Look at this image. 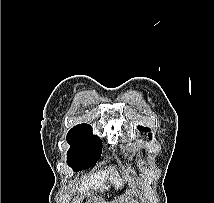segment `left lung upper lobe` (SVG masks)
Returning a JSON list of instances; mask_svg holds the SVG:
<instances>
[{"instance_id":"5c2ea615","label":"left lung upper lobe","mask_w":214,"mask_h":203,"mask_svg":"<svg viewBox=\"0 0 214 203\" xmlns=\"http://www.w3.org/2000/svg\"><path fill=\"white\" fill-rule=\"evenodd\" d=\"M138 129L143 130V131H146V132H149V131H150L149 128H147V127H142V126H139ZM149 135H150L149 137H150V139H151L152 134L150 133Z\"/></svg>"}]
</instances>
